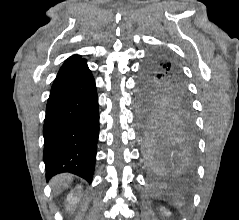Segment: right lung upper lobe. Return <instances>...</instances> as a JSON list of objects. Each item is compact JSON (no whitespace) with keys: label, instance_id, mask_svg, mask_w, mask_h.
<instances>
[{"label":"right lung upper lobe","instance_id":"1","mask_svg":"<svg viewBox=\"0 0 239 220\" xmlns=\"http://www.w3.org/2000/svg\"><path fill=\"white\" fill-rule=\"evenodd\" d=\"M82 60H84V59H81V57L79 55H73L66 60V62L63 64V66L61 67L60 70L66 68L68 66H71V65L75 64L76 62H79Z\"/></svg>","mask_w":239,"mask_h":220}]
</instances>
